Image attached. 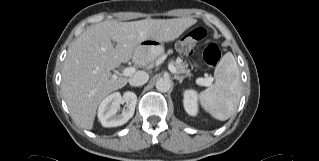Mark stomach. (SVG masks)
<instances>
[{"label":"stomach","instance_id":"obj_1","mask_svg":"<svg viewBox=\"0 0 319 161\" xmlns=\"http://www.w3.org/2000/svg\"><path fill=\"white\" fill-rule=\"evenodd\" d=\"M164 52L163 44L153 40L147 39L139 43L133 55V60L138 64H148Z\"/></svg>","mask_w":319,"mask_h":161}]
</instances>
